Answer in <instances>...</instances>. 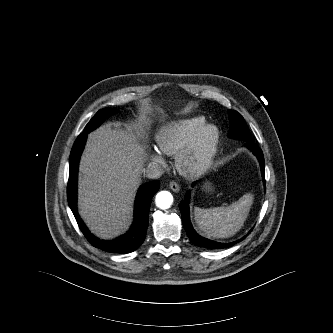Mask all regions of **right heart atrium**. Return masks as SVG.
<instances>
[{"label":"right heart atrium","mask_w":333,"mask_h":333,"mask_svg":"<svg viewBox=\"0 0 333 333\" xmlns=\"http://www.w3.org/2000/svg\"><path fill=\"white\" fill-rule=\"evenodd\" d=\"M150 161L160 167H165L166 162L162 153L158 150H153L149 154Z\"/></svg>","instance_id":"right-heart-atrium-1"}]
</instances>
